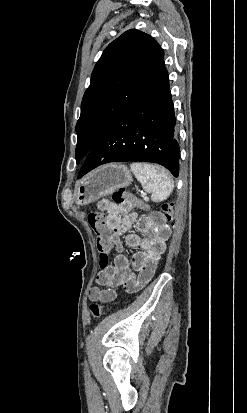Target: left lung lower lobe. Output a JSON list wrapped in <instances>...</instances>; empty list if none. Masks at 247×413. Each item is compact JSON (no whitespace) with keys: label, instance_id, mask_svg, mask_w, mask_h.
Here are the masks:
<instances>
[{"label":"left lung lower lobe","instance_id":"left-lung-lower-lobe-1","mask_svg":"<svg viewBox=\"0 0 247 413\" xmlns=\"http://www.w3.org/2000/svg\"><path fill=\"white\" fill-rule=\"evenodd\" d=\"M168 73L163 65L87 154L78 178L109 162L158 163L178 177L179 144Z\"/></svg>","mask_w":247,"mask_h":413}]
</instances>
